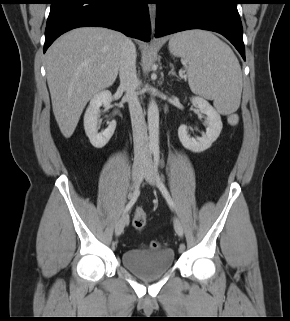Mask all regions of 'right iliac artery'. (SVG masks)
Segmentation results:
<instances>
[{
    "label": "right iliac artery",
    "instance_id": "obj_1",
    "mask_svg": "<svg viewBox=\"0 0 290 321\" xmlns=\"http://www.w3.org/2000/svg\"><path fill=\"white\" fill-rule=\"evenodd\" d=\"M140 194V189L139 186H137V188L135 189V191L133 192V195L131 196V199L129 201V203L126 205L125 209H124V213L128 212L131 207L134 205V203L136 202L138 196Z\"/></svg>",
    "mask_w": 290,
    "mask_h": 321
}]
</instances>
